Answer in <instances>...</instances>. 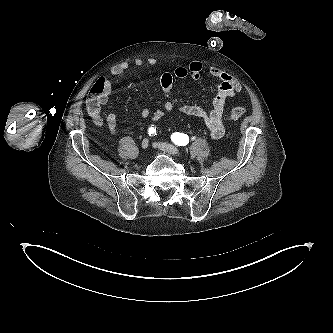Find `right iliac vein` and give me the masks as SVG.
I'll list each match as a JSON object with an SVG mask.
<instances>
[{
  "label": "right iliac vein",
  "instance_id": "63e3f726",
  "mask_svg": "<svg viewBox=\"0 0 333 333\" xmlns=\"http://www.w3.org/2000/svg\"><path fill=\"white\" fill-rule=\"evenodd\" d=\"M148 145H149V141H148V139H144V140L142 141V143H141V147H142L143 149H146V148L148 147Z\"/></svg>",
  "mask_w": 333,
  "mask_h": 333
}]
</instances>
